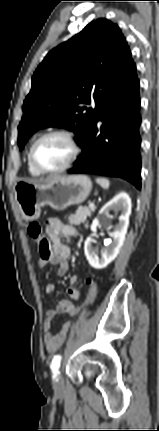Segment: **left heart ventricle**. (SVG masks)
Masks as SVG:
<instances>
[{"label": "left heart ventricle", "mask_w": 159, "mask_h": 431, "mask_svg": "<svg viewBox=\"0 0 159 431\" xmlns=\"http://www.w3.org/2000/svg\"><path fill=\"white\" fill-rule=\"evenodd\" d=\"M72 148L66 138L52 136L42 140L35 148L37 164L48 170L63 166L71 157Z\"/></svg>", "instance_id": "1"}]
</instances>
